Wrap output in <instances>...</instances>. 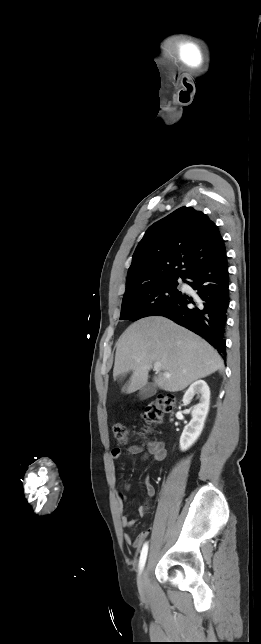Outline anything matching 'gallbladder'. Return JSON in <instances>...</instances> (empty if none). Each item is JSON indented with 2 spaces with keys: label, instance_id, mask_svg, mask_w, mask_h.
<instances>
[{
  "label": "gallbladder",
  "instance_id": "obj_1",
  "mask_svg": "<svg viewBox=\"0 0 261 644\" xmlns=\"http://www.w3.org/2000/svg\"><path fill=\"white\" fill-rule=\"evenodd\" d=\"M156 391V386L152 383H148L140 389L138 396L141 400H145L155 395Z\"/></svg>",
  "mask_w": 261,
  "mask_h": 644
}]
</instances>
